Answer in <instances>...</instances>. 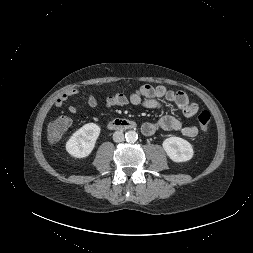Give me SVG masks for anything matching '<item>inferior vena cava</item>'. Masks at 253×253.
I'll return each instance as SVG.
<instances>
[{
	"instance_id": "inferior-vena-cava-1",
	"label": "inferior vena cava",
	"mask_w": 253,
	"mask_h": 253,
	"mask_svg": "<svg viewBox=\"0 0 253 253\" xmlns=\"http://www.w3.org/2000/svg\"><path fill=\"white\" fill-rule=\"evenodd\" d=\"M113 140L115 142H122L124 140V134L121 131H116L113 134Z\"/></svg>"
}]
</instances>
